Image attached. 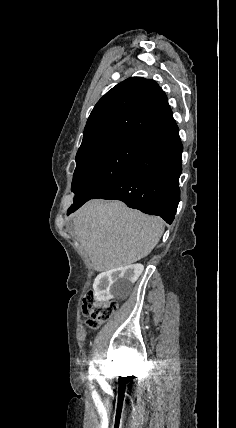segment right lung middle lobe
Listing matches in <instances>:
<instances>
[{"label": "right lung middle lobe", "instance_id": "1", "mask_svg": "<svg viewBox=\"0 0 236 428\" xmlns=\"http://www.w3.org/2000/svg\"><path fill=\"white\" fill-rule=\"evenodd\" d=\"M140 140H127L76 162L69 210L83 205L115 181L138 152Z\"/></svg>", "mask_w": 236, "mask_h": 428}]
</instances>
